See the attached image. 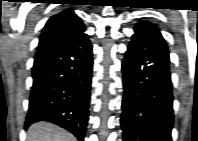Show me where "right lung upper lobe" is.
<instances>
[{
	"mask_svg": "<svg viewBox=\"0 0 198 141\" xmlns=\"http://www.w3.org/2000/svg\"><path fill=\"white\" fill-rule=\"evenodd\" d=\"M84 31L81 19L72 10H63L47 21L39 39L37 53L68 42Z\"/></svg>",
	"mask_w": 198,
	"mask_h": 141,
	"instance_id": "right-lung-upper-lobe-1",
	"label": "right lung upper lobe"
}]
</instances>
